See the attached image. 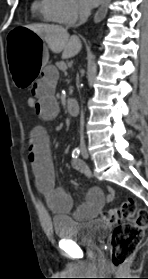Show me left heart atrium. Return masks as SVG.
Returning a JSON list of instances; mask_svg holds the SVG:
<instances>
[{
	"instance_id": "1",
	"label": "left heart atrium",
	"mask_w": 148,
	"mask_h": 279,
	"mask_svg": "<svg viewBox=\"0 0 148 279\" xmlns=\"http://www.w3.org/2000/svg\"><path fill=\"white\" fill-rule=\"evenodd\" d=\"M102 0H81L82 4L87 7H93L98 5Z\"/></svg>"
}]
</instances>
